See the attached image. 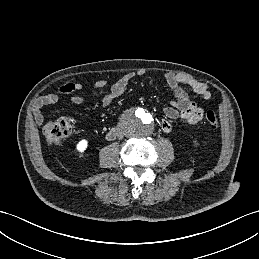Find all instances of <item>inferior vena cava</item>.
Masks as SVG:
<instances>
[{
  "mask_svg": "<svg viewBox=\"0 0 259 259\" xmlns=\"http://www.w3.org/2000/svg\"><path fill=\"white\" fill-rule=\"evenodd\" d=\"M118 136H119V137H122V136H123V134H122L121 131H118Z\"/></svg>",
  "mask_w": 259,
  "mask_h": 259,
  "instance_id": "inferior-vena-cava-1",
  "label": "inferior vena cava"
}]
</instances>
